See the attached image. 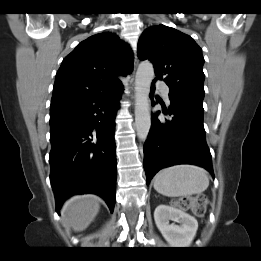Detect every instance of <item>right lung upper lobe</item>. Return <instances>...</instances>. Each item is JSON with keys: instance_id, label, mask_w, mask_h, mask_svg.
Segmentation results:
<instances>
[{"instance_id": "obj_1", "label": "right lung upper lobe", "mask_w": 261, "mask_h": 261, "mask_svg": "<svg viewBox=\"0 0 261 261\" xmlns=\"http://www.w3.org/2000/svg\"><path fill=\"white\" fill-rule=\"evenodd\" d=\"M133 69L129 46L110 32L95 34L79 43L59 68L51 105L122 87L117 76Z\"/></svg>"}]
</instances>
